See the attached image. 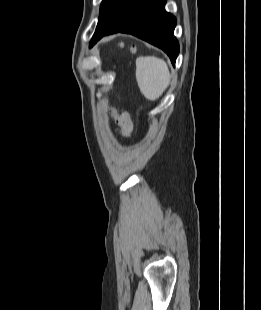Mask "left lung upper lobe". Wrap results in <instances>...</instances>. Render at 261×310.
Wrapping results in <instances>:
<instances>
[{
  "mask_svg": "<svg viewBox=\"0 0 261 310\" xmlns=\"http://www.w3.org/2000/svg\"><path fill=\"white\" fill-rule=\"evenodd\" d=\"M122 0H103L100 7L98 25H105L111 21Z\"/></svg>",
  "mask_w": 261,
  "mask_h": 310,
  "instance_id": "5c2ea615",
  "label": "left lung upper lobe"
}]
</instances>
